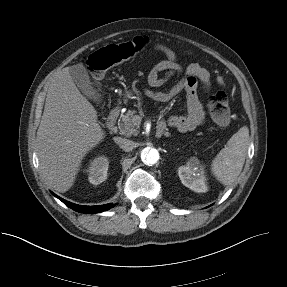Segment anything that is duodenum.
<instances>
[{"instance_id":"1","label":"duodenum","mask_w":287,"mask_h":287,"mask_svg":"<svg viewBox=\"0 0 287 287\" xmlns=\"http://www.w3.org/2000/svg\"><path fill=\"white\" fill-rule=\"evenodd\" d=\"M119 112H120V109L119 107H115L113 108L109 115L107 116V119H106V126L108 128H112L118 118V115H119ZM164 131V127L163 126H158L157 127V134L161 135Z\"/></svg>"}]
</instances>
